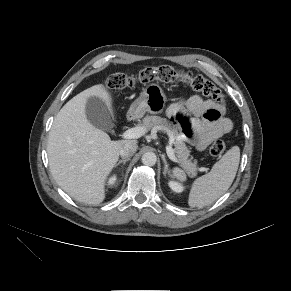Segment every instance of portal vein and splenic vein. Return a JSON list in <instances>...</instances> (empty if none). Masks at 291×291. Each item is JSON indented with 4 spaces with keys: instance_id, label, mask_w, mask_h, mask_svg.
Masks as SVG:
<instances>
[{
    "instance_id": "18ae733b",
    "label": "portal vein and splenic vein",
    "mask_w": 291,
    "mask_h": 291,
    "mask_svg": "<svg viewBox=\"0 0 291 291\" xmlns=\"http://www.w3.org/2000/svg\"><path fill=\"white\" fill-rule=\"evenodd\" d=\"M144 134H145V129L143 127H134V128H130V129L126 130L122 134V137L124 139H137V138H140L141 136H143ZM172 140H174V139L172 138ZM166 153L171 161L177 162V158L174 154V150L171 147V145H168L166 147Z\"/></svg>"
}]
</instances>
